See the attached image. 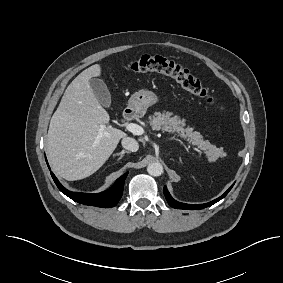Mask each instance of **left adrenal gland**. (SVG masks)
Wrapping results in <instances>:
<instances>
[{"mask_svg": "<svg viewBox=\"0 0 283 283\" xmlns=\"http://www.w3.org/2000/svg\"><path fill=\"white\" fill-rule=\"evenodd\" d=\"M179 161H180L181 164H183L181 157H179Z\"/></svg>", "mask_w": 283, "mask_h": 283, "instance_id": "obj_1", "label": "left adrenal gland"}]
</instances>
